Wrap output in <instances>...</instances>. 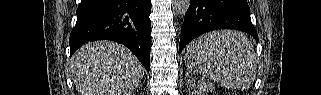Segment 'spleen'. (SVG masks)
<instances>
[{
	"mask_svg": "<svg viewBox=\"0 0 321 95\" xmlns=\"http://www.w3.org/2000/svg\"><path fill=\"white\" fill-rule=\"evenodd\" d=\"M185 63L227 89L247 90L256 78V53L242 32L215 31L197 38L187 48Z\"/></svg>",
	"mask_w": 321,
	"mask_h": 95,
	"instance_id": "1",
	"label": "spleen"
}]
</instances>
